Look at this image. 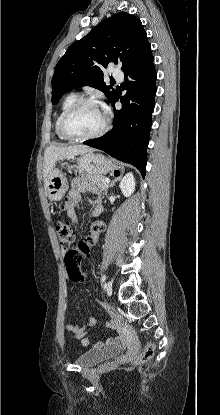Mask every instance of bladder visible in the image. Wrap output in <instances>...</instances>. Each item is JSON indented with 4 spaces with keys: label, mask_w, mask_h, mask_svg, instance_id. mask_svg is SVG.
Listing matches in <instances>:
<instances>
[{
    "label": "bladder",
    "mask_w": 220,
    "mask_h": 415,
    "mask_svg": "<svg viewBox=\"0 0 220 415\" xmlns=\"http://www.w3.org/2000/svg\"><path fill=\"white\" fill-rule=\"evenodd\" d=\"M122 352L123 348L119 346L91 349L80 354L75 363L81 367H92L104 361L114 359Z\"/></svg>",
    "instance_id": "obj_1"
}]
</instances>
